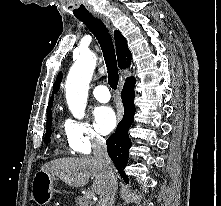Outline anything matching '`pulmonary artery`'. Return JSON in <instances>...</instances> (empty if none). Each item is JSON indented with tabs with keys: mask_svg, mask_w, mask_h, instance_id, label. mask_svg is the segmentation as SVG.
Segmentation results:
<instances>
[{
	"mask_svg": "<svg viewBox=\"0 0 221 206\" xmlns=\"http://www.w3.org/2000/svg\"><path fill=\"white\" fill-rule=\"evenodd\" d=\"M94 97L100 102H108L110 99L109 88L105 85H98L93 89Z\"/></svg>",
	"mask_w": 221,
	"mask_h": 206,
	"instance_id": "1",
	"label": "pulmonary artery"
}]
</instances>
